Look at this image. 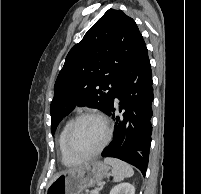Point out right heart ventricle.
Instances as JSON below:
<instances>
[{
  "label": "right heart ventricle",
  "mask_w": 201,
  "mask_h": 194,
  "mask_svg": "<svg viewBox=\"0 0 201 194\" xmlns=\"http://www.w3.org/2000/svg\"><path fill=\"white\" fill-rule=\"evenodd\" d=\"M71 120H68L64 126L62 127L59 136H58V149H59V153H60V159L63 165L65 166H74L77 165L78 163H80V161L72 158L66 151L65 149V135H66V131L67 128L70 124Z\"/></svg>",
  "instance_id": "1"
}]
</instances>
